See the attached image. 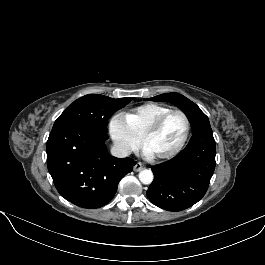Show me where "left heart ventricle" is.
Wrapping results in <instances>:
<instances>
[{
	"mask_svg": "<svg viewBox=\"0 0 265 265\" xmlns=\"http://www.w3.org/2000/svg\"><path fill=\"white\" fill-rule=\"evenodd\" d=\"M185 128V120L181 115L168 116L160 129L148 139L147 151L154 155L172 150L181 142Z\"/></svg>",
	"mask_w": 265,
	"mask_h": 265,
	"instance_id": "obj_1",
	"label": "left heart ventricle"
}]
</instances>
